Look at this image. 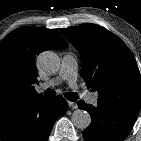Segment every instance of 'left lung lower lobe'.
<instances>
[{"mask_svg": "<svg viewBox=\"0 0 141 141\" xmlns=\"http://www.w3.org/2000/svg\"><path fill=\"white\" fill-rule=\"evenodd\" d=\"M87 105L80 100L78 106L92 118L90 126L83 132L86 141H123L131 131L138 115L133 108L121 109L97 102Z\"/></svg>", "mask_w": 141, "mask_h": 141, "instance_id": "obj_1", "label": "left lung lower lobe"}]
</instances>
